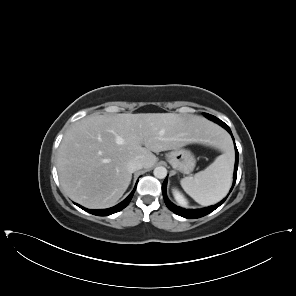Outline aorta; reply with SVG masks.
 <instances>
[{"label": "aorta", "instance_id": "aorta-1", "mask_svg": "<svg viewBox=\"0 0 296 296\" xmlns=\"http://www.w3.org/2000/svg\"><path fill=\"white\" fill-rule=\"evenodd\" d=\"M153 174L158 179H163L167 176V169L163 166L156 167Z\"/></svg>", "mask_w": 296, "mask_h": 296}]
</instances>
